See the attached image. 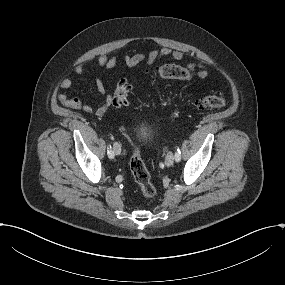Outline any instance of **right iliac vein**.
I'll use <instances>...</instances> for the list:
<instances>
[{
  "mask_svg": "<svg viewBox=\"0 0 285 285\" xmlns=\"http://www.w3.org/2000/svg\"><path fill=\"white\" fill-rule=\"evenodd\" d=\"M113 151L116 155H119L121 153V147L116 142L113 144Z\"/></svg>",
  "mask_w": 285,
  "mask_h": 285,
  "instance_id": "63e3f726",
  "label": "right iliac vein"
}]
</instances>
